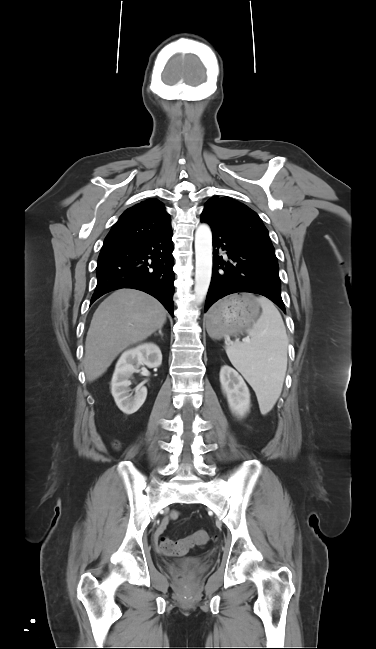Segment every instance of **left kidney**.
<instances>
[{"mask_svg":"<svg viewBox=\"0 0 376 649\" xmlns=\"http://www.w3.org/2000/svg\"><path fill=\"white\" fill-rule=\"evenodd\" d=\"M220 382L232 413L245 416L250 409V392L243 378L230 366H223Z\"/></svg>","mask_w":376,"mask_h":649,"instance_id":"1","label":"left kidney"}]
</instances>
